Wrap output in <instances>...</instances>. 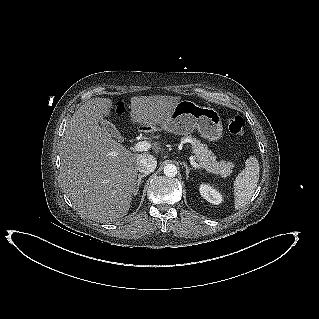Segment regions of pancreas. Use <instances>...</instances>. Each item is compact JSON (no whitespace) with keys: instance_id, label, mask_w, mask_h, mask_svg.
<instances>
[{"instance_id":"cf45deb5","label":"pancreas","mask_w":319,"mask_h":319,"mask_svg":"<svg viewBox=\"0 0 319 319\" xmlns=\"http://www.w3.org/2000/svg\"><path fill=\"white\" fill-rule=\"evenodd\" d=\"M186 139L192 145L194 160H196L202 168L210 173L220 174L221 177L224 178L232 173L234 167L232 162H226L225 160L217 161L216 156L208 149L206 144H202L198 139L192 136H187Z\"/></svg>"}]
</instances>
